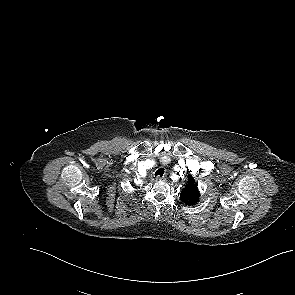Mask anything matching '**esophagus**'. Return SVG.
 Listing matches in <instances>:
<instances>
[{
  "label": "esophagus",
  "mask_w": 295,
  "mask_h": 295,
  "mask_svg": "<svg viewBox=\"0 0 295 295\" xmlns=\"http://www.w3.org/2000/svg\"><path fill=\"white\" fill-rule=\"evenodd\" d=\"M156 180H163L164 181V180H166V176H164V175L163 176H158L156 178Z\"/></svg>",
  "instance_id": "34e87169"
}]
</instances>
